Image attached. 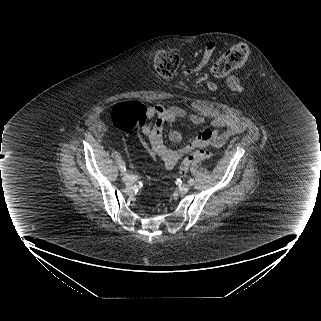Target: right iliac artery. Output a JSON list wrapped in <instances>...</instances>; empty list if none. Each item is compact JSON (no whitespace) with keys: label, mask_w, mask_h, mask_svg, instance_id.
<instances>
[{"label":"right iliac artery","mask_w":321,"mask_h":321,"mask_svg":"<svg viewBox=\"0 0 321 321\" xmlns=\"http://www.w3.org/2000/svg\"><path fill=\"white\" fill-rule=\"evenodd\" d=\"M119 167H120V170L122 173L126 172L125 163L122 160H120V162H119Z\"/></svg>","instance_id":"right-iliac-artery-1"}]
</instances>
